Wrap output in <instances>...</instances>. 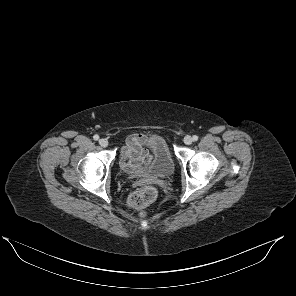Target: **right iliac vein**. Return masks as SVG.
Returning a JSON list of instances; mask_svg holds the SVG:
<instances>
[{
  "label": "right iliac vein",
  "instance_id": "obj_1",
  "mask_svg": "<svg viewBox=\"0 0 296 296\" xmlns=\"http://www.w3.org/2000/svg\"><path fill=\"white\" fill-rule=\"evenodd\" d=\"M99 144H100V146L101 147H107L108 146V140L107 139H105V138H101L100 140H99Z\"/></svg>",
  "mask_w": 296,
  "mask_h": 296
}]
</instances>
